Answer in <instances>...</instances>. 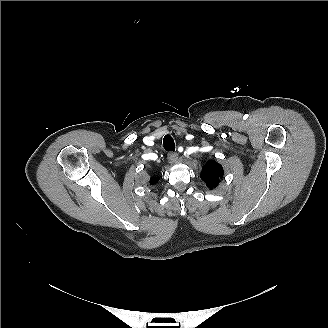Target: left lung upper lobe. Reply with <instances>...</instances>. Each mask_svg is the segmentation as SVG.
Masks as SVG:
<instances>
[{
    "instance_id": "1",
    "label": "left lung upper lobe",
    "mask_w": 328,
    "mask_h": 328,
    "mask_svg": "<svg viewBox=\"0 0 328 328\" xmlns=\"http://www.w3.org/2000/svg\"><path fill=\"white\" fill-rule=\"evenodd\" d=\"M223 175L222 166L215 161L207 162L201 171V179L210 189L217 187Z\"/></svg>"
}]
</instances>
